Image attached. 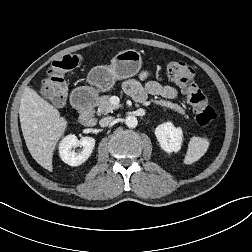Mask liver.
Wrapping results in <instances>:
<instances>
[{
	"label": "liver",
	"mask_w": 252,
	"mask_h": 252,
	"mask_svg": "<svg viewBox=\"0 0 252 252\" xmlns=\"http://www.w3.org/2000/svg\"><path fill=\"white\" fill-rule=\"evenodd\" d=\"M19 118L31 156L39 165L52 172L53 152L67 129V120L29 87L24 90L20 101Z\"/></svg>",
	"instance_id": "1"
}]
</instances>
